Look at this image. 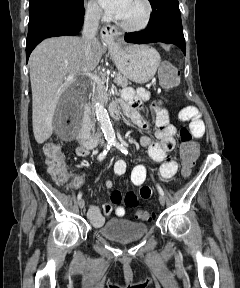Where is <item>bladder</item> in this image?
<instances>
[{"instance_id": "1", "label": "bladder", "mask_w": 240, "mask_h": 288, "mask_svg": "<svg viewBox=\"0 0 240 288\" xmlns=\"http://www.w3.org/2000/svg\"><path fill=\"white\" fill-rule=\"evenodd\" d=\"M98 232L111 241L128 242L144 237L148 227L127 219H113L99 228Z\"/></svg>"}]
</instances>
